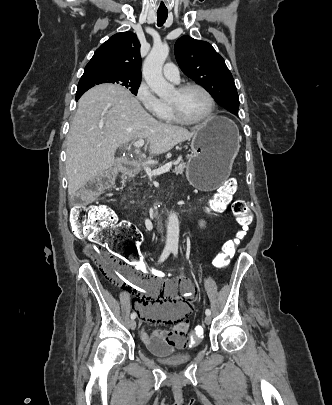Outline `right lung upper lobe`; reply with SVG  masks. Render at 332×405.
Listing matches in <instances>:
<instances>
[{
	"mask_svg": "<svg viewBox=\"0 0 332 405\" xmlns=\"http://www.w3.org/2000/svg\"><path fill=\"white\" fill-rule=\"evenodd\" d=\"M140 43L133 32L117 33L94 53L84 72L110 70L141 78Z\"/></svg>",
	"mask_w": 332,
	"mask_h": 405,
	"instance_id": "right-lung-upper-lobe-1",
	"label": "right lung upper lobe"
}]
</instances>
